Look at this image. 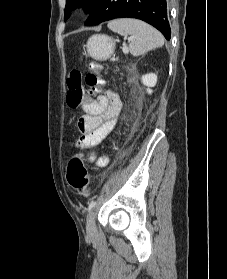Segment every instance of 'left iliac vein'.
Returning a JSON list of instances; mask_svg holds the SVG:
<instances>
[{"instance_id":"obj_1","label":"left iliac vein","mask_w":227,"mask_h":279,"mask_svg":"<svg viewBox=\"0 0 227 279\" xmlns=\"http://www.w3.org/2000/svg\"><path fill=\"white\" fill-rule=\"evenodd\" d=\"M96 225H95V212L91 210L87 217V236L94 237L96 235Z\"/></svg>"}]
</instances>
